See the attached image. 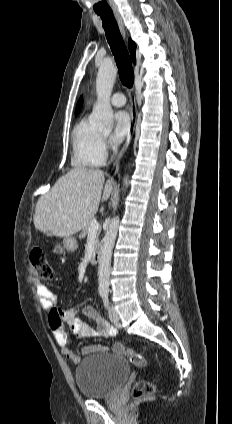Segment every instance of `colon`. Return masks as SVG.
<instances>
[{
    "label": "colon",
    "instance_id": "colon-1",
    "mask_svg": "<svg viewBox=\"0 0 232 424\" xmlns=\"http://www.w3.org/2000/svg\"><path fill=\"white\" fill-rule=\"evenodd\" d=\"M30 264L32 274L35 278L44 281H49L53 278V268L41 249L32 250L30 254ZM125 354L134 365L138 367L147 365V360L140 353L131 349H126ZM154 392L155 386L149 381H138L132 388V396L138 399L150 397Z\"/></svg>",
    "mask_w": 232,
    "mask_h": 424
}]
</instances>
